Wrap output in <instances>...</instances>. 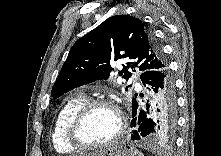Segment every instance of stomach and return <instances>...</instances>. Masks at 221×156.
I'll use <instances>...</instances> for the list:
<instances>
[{
	"mask_svg": "<svg viewBox=\"0 0 221 156\" xmlns=\"http://www.w3.org/2000/svg\"><path fill=\"white\" fill-rule=\"evenodd\" d=\"M137 151L131 145L126 143H121L114 147L103 150L99 154L93 153L90 156H136Z\"/></svg>",
	"mask_w": 221,
	"mask_h": 156,
	"instance_id": "1",
	"label": "stomach"
}]
</instances>
